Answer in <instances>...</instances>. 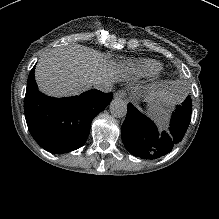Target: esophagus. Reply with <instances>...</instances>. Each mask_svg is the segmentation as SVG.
Here are the masks:
<instances>
[{
	"label": "esophagus",
	"instance_id": "obj_1",
	"mask_svg": "<svg viewBox=\"0 0 219 219\" xmlns=\"http://www.w3.org/2000/svg\"><path fill=\"white\" fill-rule=\"evenodd\" d=\"M125 96H126L125 91L119 90V91H117V92L114 94V99H115V100H117V99H124Z\"/></svg>",
	"mask_w": 219,
	"mask_h": 219
}]
</instances>
